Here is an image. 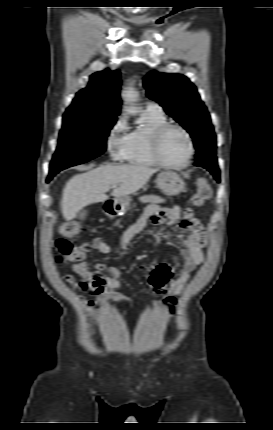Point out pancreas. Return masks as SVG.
<instances>
[{
    "label": "pancreas",
    "instance_id": "1",
    "mask_svg": "<svg viewBox=\"0 0 273 430\" xmlns=\"http://www.w3.org/2000/svg\"><path fill=\"white\" fill-rule=\"evenodd\" d=\"M140 201L143 203H146V202L164 203L165 202V200L163 198H161L160 196H155V195L143 196L140 198Z\"/></svg>",
    "mask_w": 273,
    "mask_h": 430
}]
</instances>
